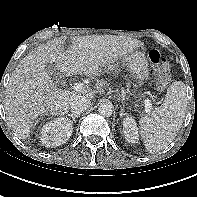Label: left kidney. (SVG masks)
I'll return each mask as SVG.
<instances>
[{"label":"left kidney","instance_id":"1","mask_svg":"<svg viewBox=\"0 0 197 197\" xmlns=\"http://www.w3.org/2000/svg\"><path fill=\"white\" fill-rule=\"evenodd\" d=\"M123 132L129 143L135 144L138 141V131L136 121L132 117H126L123 120Z\"/></svg>","mask_w":197,"mask_h":197}]
</instances>
